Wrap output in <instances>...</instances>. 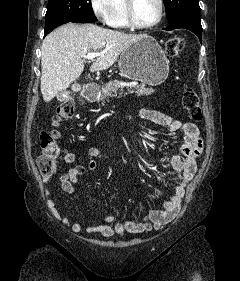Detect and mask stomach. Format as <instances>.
Listing matches in <instances>:
<instances>
[{
	"label": "stomach",
	"instance_id": "stomach-1",
	"mask_svg": "<svg viewBox=\"0 0 240 281\" xmlns=\"http://www.w3.org/2000/svg\"><path fill=\"white\" fill-rule=\"evenodd\" d=\"M118 66L124 77L152 86L163 83L169 74V60L158 42L149 35L126 48Z\"/></svg>",
	"mask_w": 240,
	"mask_h": 281
}]
</instances>
